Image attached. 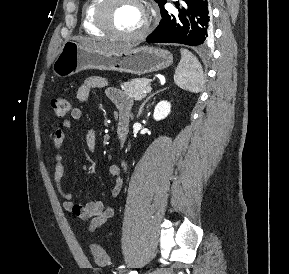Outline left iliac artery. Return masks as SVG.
<instances>
[{
	"label": "left iliac artery",
	"mask_w": 289,
	"mask_h": 274,
	"mask_svg": "<svg viewBox=\"0 0 289 274\" xmlns=\"http://www.w3.org/2000/svg\"><path fill=\"white\" fill-rule=\"evenodd\" d=\"M123 268H125V266H124V265H122V266H119V267H118V270H121V269H123Z\"/></svg>",
	"instance_id": "obj_1"
}]
</instances>
